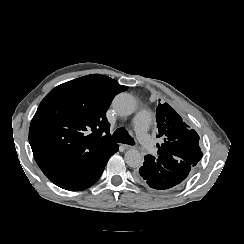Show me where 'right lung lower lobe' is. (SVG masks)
Segmentation results:
<instances>
[{"label": "right lung lower lobe", "mask_w": 244, "mask_h": 244, "mask_svg": "<svg viewBox=\"0 0 244 244\" xmlns=\"http://www.w3.org/2000/svg\"><path fill=\"white\" fill-rule=\"evenodd\" d=\"M117 151L118 145L115 144L92 155H83L74 162L47 172L45 175L63 189L83 190L93 185L100 178L107 161Z\"/></svg>", "instance_id": "obj_1"}]
</instances>
